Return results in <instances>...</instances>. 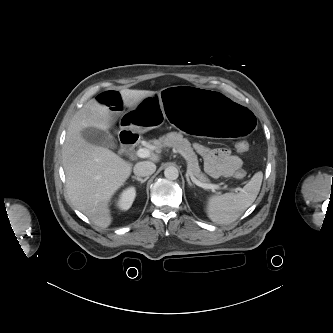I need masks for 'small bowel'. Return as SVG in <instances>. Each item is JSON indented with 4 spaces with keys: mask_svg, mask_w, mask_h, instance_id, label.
Here are the masks:
<instances>
[{
    "mask_svg": "<svg viewBox=\"0 0 333 333\" xmlns=\"http://www.w3.org/2000/svg\"><path fill=\"white\" fill-rule=\"evenodd\" d=\"M96 101L115 114L124 109V101L118 91L102 92L96 97ZM195 148L204 159L206 172L212 177L230 176L242 164L241 159L226 148L213 149L201 144H196Z\"/></svg>",
    "mask_w": 333,
    "mask_h": 333,
    "instance_id": "1",
    "label": "small bowel"
}]
</instances>
